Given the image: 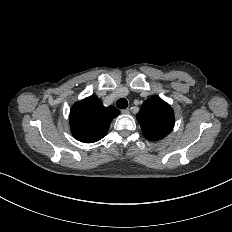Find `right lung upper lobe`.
Returning a JSON list of instances; mask_svg holds the SVG:
<instances>
[{"label": "right lung upper lobe", "instance_id": "obj_1", "mask_svg": "<svg viewBox=\"0 0 232 232\" xmlns=\"http://www.w3.org/2000/svg\"><path fill=\"white\" fill-rule=\"evenodd\" d=\"M115 107H104L98 97L92 95L75 103L70 112L73 136L81 142L93 143L108 132L112 119L119 115Z\"/></svg>", "mask_w": 232, "mask_h": 232}]
</instances>
